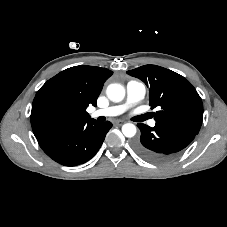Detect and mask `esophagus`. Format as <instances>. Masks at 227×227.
Here are the masks:
<instances>
[{
  "instance_id": "esophagus-1",
  "label": "esophagus",
  "mask_w": 227,
  "mask_h": 227,
  "mask_svg": "<svg viewBox=\"0 0 227 227\" xmlns=\"http://www.w3.org/2000/svg\"><path fill=\"white\" fill-rule=\"evenodd\" d=\"M124 123V121L118 120L115 122L116 125H122Z\"/></svg>"
}]
</instances>
